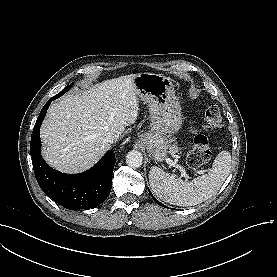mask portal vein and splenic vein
I'll return each instance as SVG.
<instances>
[{
    "mask_svg": "<svg viewBox=\"0 0 277 277\" xmlns=\"http://www.w3.org/2000/svg\"><path fill=\"white\" fill-rule=\"evenodd\" d=\"M167 163L170 166L177 168L181 172L182 177H184L186 180L189 179V177L186 174L185 168L183 166L179 165L176 161H173L170 159H167Z\"/></svg>",
    "mask_w": 277,
    "mask_h": 277,
    "instance_id": "18ae733b",
    "label": "portal vein and splenic vein"
}]
</instances>
